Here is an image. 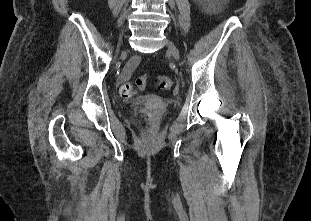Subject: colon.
Here are the masks:
<instances>
[{
  "label": "colon",
  "mask_w": 311,
  "mask_h": 221,
  "mask_svg": "<svg viewBox=\"0 0 311 221\" xmlns=\"http://www.w3.org/2000/svg\"><path fill=\"white\" fill-rule=\"evenodd\" d=\"M145 80L146 78L141 79V83L139 84V87L145 86ZM155 84L159 89L167 91L172 88L174 84V80L170 76L160 75L156 77ZM134 92H135V88L131 82H126L121 86L120 95L124 99H130L134 95ZM138 123L143 130L148 131L150 129L151 123L148 118L141 116L138 119Z\"/></svg>",
  "instance_id": "1"
}]
</instances>
